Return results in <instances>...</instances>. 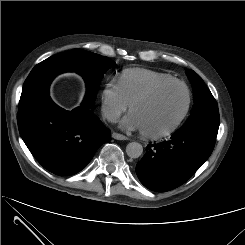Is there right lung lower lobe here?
Segmentation results:
<instances>
[{
	"label": "right lung lower lobe",
	"instance_id": "1",
	"mask_svg": "<svg viewBox=\"0 0 245 245\" xmlns=\"http://www.w3.org/2000/svg\"><path fill=\"white\" fill-rule=\"evenodd\" d=\"M18 128L26 146L48 171L73 175L81 171L111 132L94 113L82 105L66 111L50 97L29 110L18 112Z\"/></svg>",
	"mask_w": 245,
	"mask_h": 245
}]
</instances>
